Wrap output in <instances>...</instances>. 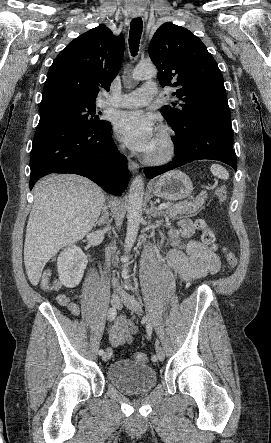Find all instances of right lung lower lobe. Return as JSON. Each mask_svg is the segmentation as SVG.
<instances>
[{"instance_id":"right-lung-lower-lobe-1","label":"right lung lower lobe","mask_w":271,"mask_h":443,"mask_svg":"<svg viewBox=\"0 0 271 443\" xmlns=\"http://www.w3.org/2000/svg\"><path fill=\"white\" fill-rule=\"evenodd\" d=\"M30 168V189L50 173L85 176L115 195H121L129 182L127 158L118 151L108 121L95 129L64 122L38 127Z\"/></svg>"}]
</instances>
